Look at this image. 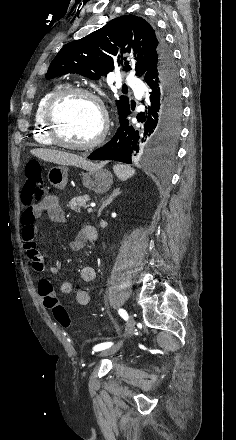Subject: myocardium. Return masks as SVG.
Returning a JSON list of instances; mask_svg holds the SVG:
<instances>
[{"mask_svg": "<svg viewBox=\"0 0 236 440\" xmlns=\"http://www.w3.org/2000/svg\"><path fill=\"white\" fill-rule=\"evenodd\" d=\"M69 96H81L91 100L98 108L100 113V129L97 135L89 142L83 144H73L65 141L59 135L57 128V121L55 118V110L57 106L63 101L65 98ZM44 124L47 129V133L51 140L57 146L70 149V150H89L98 146L106 137L109 129V117L106 110V107L102 101V99L91 92L88 89L80 88V87H64L55 92L48 100L45 110H44Z\"/></svg>", "mask_w": 236, "mask_h": 440, "instance_id": "f54148a6", "label": "myocardium"}]
</instances>
